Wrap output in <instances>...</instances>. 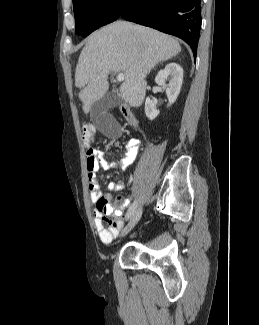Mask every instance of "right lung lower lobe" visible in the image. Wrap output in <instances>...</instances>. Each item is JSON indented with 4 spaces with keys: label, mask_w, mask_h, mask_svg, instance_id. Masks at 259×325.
Returning <instances> with one entry per match:
<instances>
[{
    "label": "right lung lower lobe",
    "mask_w": 259,
    "mask_h": 325,
    "mask_svg": "<svg viewBox=\"0 0 259 325\" xmlns=\"http://www.w3.org/2000/svg\"><path fill=\"white\" fill-rule=\"evenodd\" d=\"M119 18L177 36L190 45L196 56L201 0H126Z\"/></svg>",
    "instance_id": "1"
}]
</instances>
